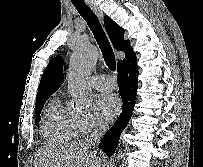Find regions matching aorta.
Here are the masks:
<instances>
[{
	"label": "aorta",
	"mask_w": 203,
	"mask_h": 167,
	"mask_svg": "<svg viewBox=\"0 0 203 167\" xmlns=\"http://www.w3.org/2000/svg\"><path fill=\"white\" fill-rule=\"evenodd\" d=\"M98 52L88 42H81L70 60L68 90L73 102L79 106H88L92 102L88 75L97 63Z\"/></svg>",
	"instance_id": "obj_1"
}]
</instances>
